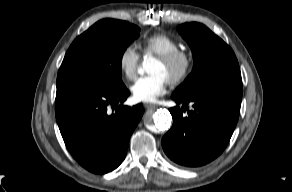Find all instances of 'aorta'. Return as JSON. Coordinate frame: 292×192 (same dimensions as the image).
<instances>
[{
    "label": "aorta",
    "mask_w": 292,
    "mask_h": 192,
    "mask_svg": "<svg viewBox=\"0 0 292 192\" xmlns=\"http://www.w3.org/2000/svg\"><path fill=\"white\" fill-rule=\"evenodd\" d=\"M148 66V61L145 60L142 67L138 68V73L142 75ZM172 117L168 110L160 109L157 110L153 115V122L157 129L160 131L167 130L171 125Z\"/></svg>",
    "instance_id": "1"
}]
</instances>
